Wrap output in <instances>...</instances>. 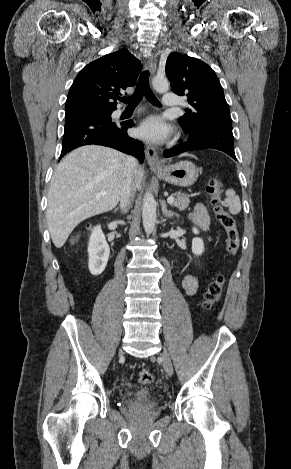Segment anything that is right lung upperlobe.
<instances>
[{"label": "right lung upper lobe", "instance_id": "cb5924a9", "mask_svg": "<svg viewBox=\"0 0 291 469\" xmlns=\"http://www.w3.org/2000/svg\"><path fill=\"white\" fill-rule=\"evenodd\" d=\"M141 68L140 61L125 48L89 63L69 90L65 116L116 108L118 95L135 84Z\"/></svg>", "mask_w": 291, "mask_h": 469}]
</instances>
